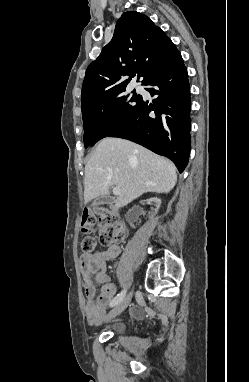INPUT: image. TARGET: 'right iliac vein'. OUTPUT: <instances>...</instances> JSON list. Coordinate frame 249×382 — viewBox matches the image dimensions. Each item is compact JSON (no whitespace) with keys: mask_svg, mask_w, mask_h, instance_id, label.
<instances>
[{"mask_svg":"<svg viewBox=\"0 0 249 382\" xmlns=\"http://www.w3.org/2000/svg\"><path fill=\"white\" fill-rule=\"evenodd\" d=\"M132 298V293H129L126 297H124L115 307L109 312L108 318H113L119 315L130 303Z\"/></svg>","mask_w":249,"mask_h":382,"instance_id":"63e3f726","label":"right iliac vein"}]
</instances>
